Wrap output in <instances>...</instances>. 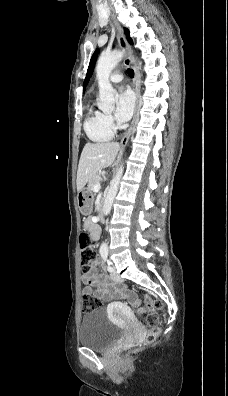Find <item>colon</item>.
<instances>
[{
  "instance_id": "colon-1",
  "label": "colon",
  "mask_w": 228,
  "mask_h": 396,
  "mask_svg": "<svg viewBox=\"0 0 228 396\" xmlns=\"http://www.w3.org/2000/svg\"><path fill=\"white\" fill-rule=\"evenodd\" d=\"M79 249L83 271L88 273L95 262V256L89 246V236L85 231L81 232L79 235ZM145 305L148 309L145 316L148 330L143 337L142 344H150L157 338L160 332V318L156 309H161L162 304L160 301L153 299L150 295H145ZM100 306L101 301L97 297L90 293L83 294L82 309L84 312L93 311Z\"/></svg>"
}]
</instances>
